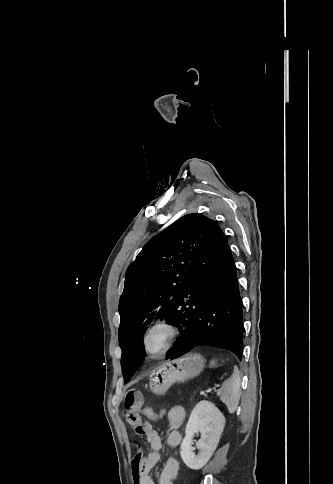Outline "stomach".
<instances>
[{"mask_svg":"<svg viewBox=\"0 0 333 484\" xmlns=\"http://www.w3.org/2000/svg\"><path fill=\"white\" fill-rule=\"evenodd\" d=\"M205 359L198 353H188L170 361H166L150 373V390L157 396H163L172 384L183 382L197 376L203 369ZM215 360L210 367H216Z\"/></svg>","mask_w":333,"mask_h":484,"instance_id":"0dacf381","label":"stomach"}]
</instances>
